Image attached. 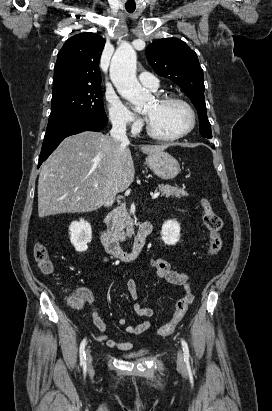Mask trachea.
I'll return each instance as SVG.
<instances>
[{
  "label": "trachea",
  "instance_id": "obj_1",
  "mask_svg": "<svg viewBox=\"0 0 272 411\" xmlns=\"http://www.w3.org/2000/svg\"><path fill=\"white\" fill-rule=\"evenodd\" d=\"M127 12L129 13H133L135 11V6H125Z\"/></svg>",
  "mask_w": 272,
  "mask_h": 411
}]
</instances>
